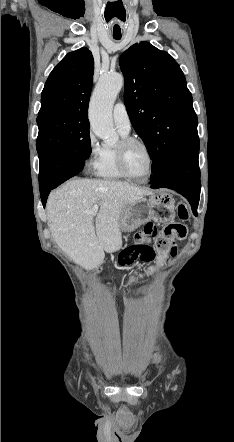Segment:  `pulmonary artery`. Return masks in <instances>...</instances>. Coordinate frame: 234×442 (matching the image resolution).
<instances>
[{"mask_svg":"<svg viewBox=\"0 0 234 442\" xmlns=\"http://www.w3.org/2000/svg\"><path fill=\"white\" fill-rule=\"evenodd\" d=\"M113 120L116 128L123 134H128L131 129L130 118L123 102H117L113 108Z\"/></svg>","mask_w":234,"mask_h":442,"instance_id":"pulmonary-artery-1","label":"pulmonary artery"}]
</instances>
